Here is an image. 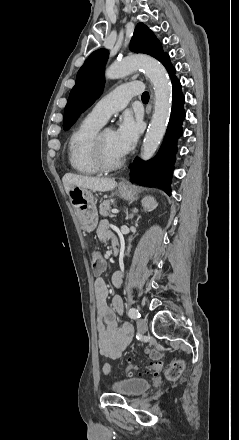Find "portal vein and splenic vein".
Here are the masks:
<instances>
[{
	"instance_id": "1",
	"label": "portal vein and splenic vein",
	"mask_w": 239,
	"mask_h": 440,
	"mask_svg": "<svg viewBox=\"0 0 239 440\" xmlns=\"http://www.w3.org/2000/svg\"><path fill=\"white\" fill-rule=\"evenodd\" d=\"M112 211V215H115V214H119V210L118 209H112L111 210Z\"/></svg>"
}]
</instances>
